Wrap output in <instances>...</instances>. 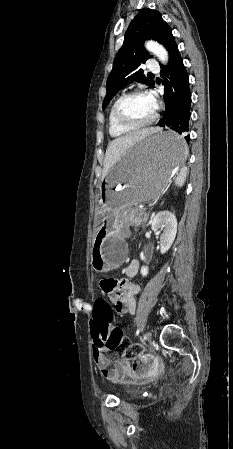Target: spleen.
I'll use <instances>...</instances> for the list:
<instances>
[{
  "label": "spleen",
  "instance_id": "3e777b00",
  "mask_svg": "<svg viewBox=\"0 0 233 449\" xmlns=\"http://www.w3.org/2000/svg\"><path fill=\"white\" fill-rule=\"evenodd\" d=\"M186 175H187V168L183 166L180 170L179 175L175 179V185L178 187H182L185 183Z\"/></svg>",
  "mask_w": 233,
  "mask_h": 449
}]
</instances>
